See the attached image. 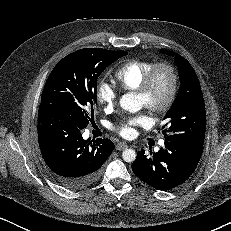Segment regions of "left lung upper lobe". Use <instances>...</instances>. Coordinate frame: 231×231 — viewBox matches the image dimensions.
<instances>
[{
	"instance_id": "1",
	"label": "left lung upper lobe",
	"mask_w": 231,
	"mask_h": 231,
	"mask_svg": "<svg viewBox=\"0 0 231 231\" xmlns=\"http://www.w3.org/2000/svg\"><path fill=\"white\" fill-rule=\"evenodd\" d=\"M180 91L162 126L165 141L200 146L204 144L206 114L204 98L198 77L189 62L177 55Z\"/></svg>"
}]
</instances>
